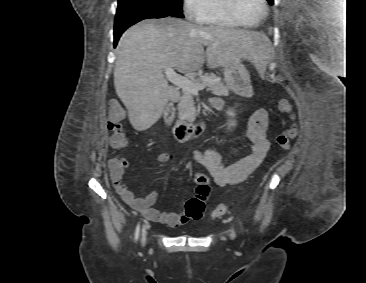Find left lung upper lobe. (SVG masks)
<instances>
[{"mask_svg": "<svg viewBox=\"0 0 366 283\" xmlns=\"http://www.w3.org/2000/svg\"><path fill=\"white\" fill-rule=\"evenodd\" d=\"M269 2V4H273L274 0H267Z\"/></svg>", "mask_w": 366, "mask_h": 283, "instance_id": "1", "label": "left lung upper lobe"}]
</instances>
